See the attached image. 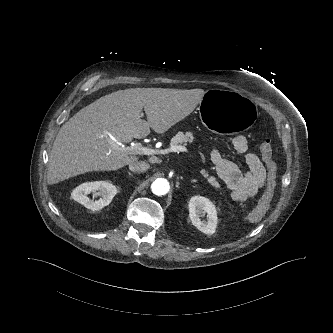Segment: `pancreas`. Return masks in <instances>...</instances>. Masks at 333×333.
Wrapping results in <instances>:
<instances>
[{"label": "pancreas", "instance_id": "cf45deb5", "mask_svg": "<svg viewBox=\"0 0 333 333\" xmlns=\"http://www.w3.org/2000/svg\"><path fill=\"white\" fill-rule=\"evenodd\" d=\"M194 141L193 134L191 132H178L172 139H171V146L186 145L187 143H192ZM200 173L207 179L208 183H210L215 188H220L219 182L216 180L214 176H209L208 172L205 169H202Z\"/></svg>", "mask_w": 333, "mask_h": 333}]
</instances>
